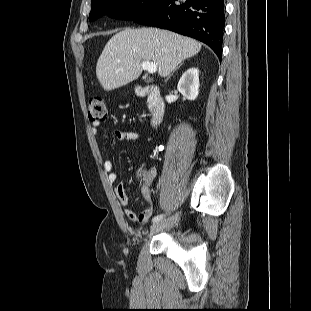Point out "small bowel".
<instances>
[{"mask_svg": "<svg viewBox=\"0 0 311 311\" xmlns=\"http://www.w3.org/2000/svg\"><path fill=\"white\" fill-rule=\"evenodd\" d=\"M100 123L94 122L91 126V132L93 135H98L100 130ZM114 137L118 141H137L140 139V134L135 131H126V130H115L114 131ZM104 170L107 173L108 181L110 183H115L118 180V175L114 171V164L111 160H106L104 162ZM155 177V171H152L147 178V180L144 182L142 186V195L145 201L147 202L146 208L140 212L136 213L130 206H129V199L127 196V193L125 191V187L122 183H119L115 186L114 191L116 194V197L120 204L123 207L124 214L126 217L130 220L137 221L139 223H147L149 219L154 214V205L151 201V191L149 189V183L150 181Z\"/></svg>", "mask_w": 311, "mask_h": 311, "instance_id": "obj_1", "label": "small bowel"}]
</instances>
